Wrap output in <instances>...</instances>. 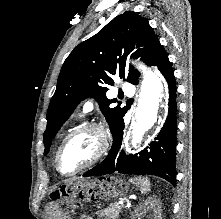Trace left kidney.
Masks as SVG:
<instances>
[{"label": "left kidney", "instance_id": "left-kidney-1", "mask_svg": "<svg viewBox=\"0 0 221 219\" xmlns=\"http://www.w3.org/2000/svg\"><path fill=\"white\" fill-rule=\"evenodd\" d=\"M151 212V219H162L161 207L159 199L155 196L149 197L142 204H140L132 215V219H140L143 214Z\"/></svg>", "mask_w": 221, "mask_h": 219}]
</instances>
